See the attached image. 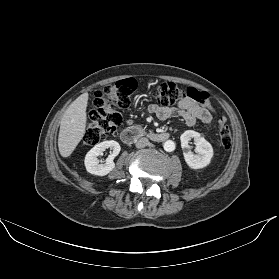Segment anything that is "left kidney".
Segmentation results:
<instances>
[{"mask_svg":"<svg viewBox=\"0 0 279 279\" xmlns=\"http://www.w3.org/2000/svg\"><path fill=\"white\" fill-rule=\"evenodd\" d=\"M191 139H194L196 145L195 152L197 154H193L190 151L189 141ZM180 140L185 162L190 168L200 169L210 164L213 157V148L200 133L193 130H187L181 134Z\"/></svg>","mask_w":279,"mask_h":279,"instance_id":"left-kidney-1","label":"left kidney"}]
</instances>
